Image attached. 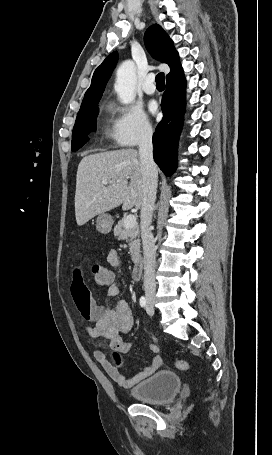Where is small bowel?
Segmentation results:
<instances>
[{"label":"small bowel","mask_w":272,"mask_h":455,"mask_svg":"<svg viewBox=\"0 0 272 455\" xmlns=\"http://www.w3.org/2000/svg\"><path fill=\"white\" fill-rule=\"evenodd\" d=\"M107 263L112 267H118L120 265L117 251H109ZM107 286L109 297H115L119 294V288L115 283V275ZM71 294L82 318L86 321L94 322L93 326H84L83 331L90 337H105L110 341L112 348L122 354H126L132 345L130 342L124 340V335L131 331L134 324L130 305L125 301H119L113 307L97 305L78 271L74 273ZM149 348L155 354L151 363L133 376L124 375L118 367L114 366L107 359L105 353L102 351H95L93 357L118 385L124 388H130L152 375L163 363L161 356L158 354V348L153 344Z\"/></svg>","instance_id":"small-bowel-1"}]
</instances>
